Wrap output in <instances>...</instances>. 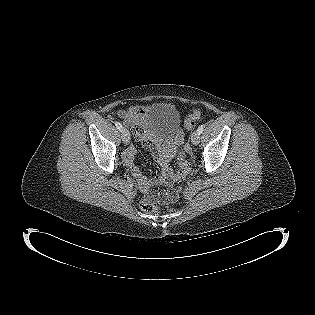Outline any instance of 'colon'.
Here are the masks:
<instances>
[{"label": "colon", "mask_w": 315, "mask_h": 315, "mask_svg": "<svg viewBox=\"0 0 315 315\" xmlns=\"http://www.w3.org/2000/svg\"><path fill=\"white\" fill-rule=\"evenodd\" d=\"M200 116L201 109L199 107L193 108L185 119L184 129L186 131H191L195 125V122L200 118ZM177 164L179 169L171 176V179L173 181H181L187 175L190 169L189 163L186 160V156L183 150L179 152ZM177 195H178L177 189L171 188L167 193L162 194L159 197V201L161 202L172 201L176 199ZM141 209L145 213L151 214L157 213L159 211V206H157L151 199H146L141 203Z\"/></svg>", "instance_id": "1"}]
</instances>
